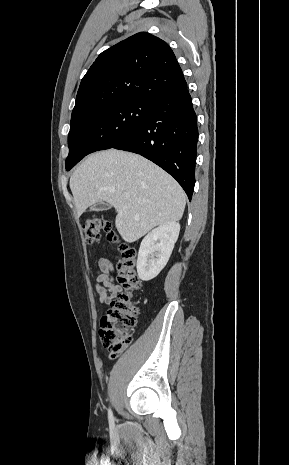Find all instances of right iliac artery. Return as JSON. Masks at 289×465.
<instances>
[{
  "label": "right iliac artery",
  "mask_w": 289,
  "mask_h": 465,
  "mask_svg": "<svg viewBox=\"0 0 289 465\" xmlns=\"http://www.w3.org/2000/svg\"><path fill=\"white\" fill-rule=\"evenodd\" d=\"M108 418H109L110 425H113L114 424V417H113L111 409H109V411H108Z\"/></svg>",
  "instance_id": "obj_1"
}]
</instances>
